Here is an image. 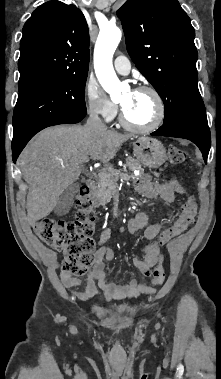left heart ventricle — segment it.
<instances>
[{"instance_id": "left-heart-ventricle-1", "label": "left heart ventricle", "mask_w": 221, "mask_h": 379, "mask_svg": "<svg viewBox=\"0 0 221 379\" xmlns=\"http://www.w3.org/2000/svg\"><path fill=\"white\" fill-rule=\"evenodd\" d=\"M120 104L127 119L136 125L150 124L156 115V103L152 95L145 92H126Z\"/></svg>"}]
</instances>
